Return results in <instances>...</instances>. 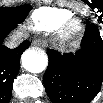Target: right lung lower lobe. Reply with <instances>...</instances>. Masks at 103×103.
I'll return each instance as SVG.
<instances>
[{
    "label": "right lung lower lobe",
    "mask_w": 103,
    "mask_h": 103,
    "mask_svg": "<svg viewBox=\"0 0 103 103\" xmlns=\"http://www.w3.org/2000/svg\"><path fill=\"white\" fill-rule=\"evenodd\" d=\"M17 27L16 23L0 24V101H9L14 78L17 76L21 54L29 47L30 42L24 41L18 47L9 49L2 45L3 39Z\"/></svg>",
    "instance_id": "obj_1"
}]
</instances>
